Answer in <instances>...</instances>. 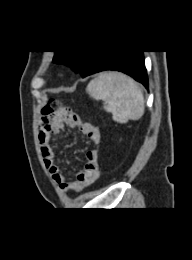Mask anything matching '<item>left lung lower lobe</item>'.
Segmentation results:
<instances>
[{"instance_id":"obj_1","label":"left lung lower lobe","mask_w":192,"mask_h":260,"mask_svg":"<svg viewBox=\"0 0 192 260\" xmlns=\"http://www.w3.org/2000/svg\"><path fill=\"white\" fill-rule=\"evenodd\" d=\"M104 70L124 72L148 87V77L142 51L100 50L92 58L83 77Z\"/></svg>"}]
</instances>
